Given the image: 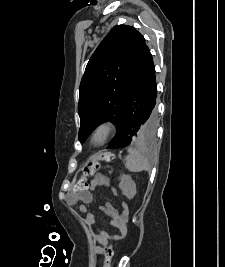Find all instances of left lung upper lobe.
Returning a JSON list of instances; mask_svg holds the SVG:
<instances>
[{"label": "left lung upper lobe", "mask_w": 225, "mask_h": 267, "mask_svg": "<svg viewBox=\"0 0 225 267\" xmlns=\"http://www.w3.org/2000/svg\"><path fill=\"white\" fill-rule=\"evenodd\" d=\"M144 37L127 25L115 26L90 58L79 88V141L83 142L99 124L121 123L125 99L140 55ZM155 130L145 135L141 124L134 141H150Z\"/></svg>", "instance_id": "left-lung-upper-lobe-1"}]
</instances>
